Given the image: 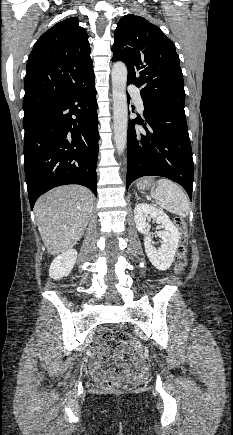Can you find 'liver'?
Wrapping results in <instances>:
<instances>
[{"instance_id": "1", "label": "liver", "mask_w": 233, "mask_h": 435, "mask_svg": "<svg viewBox=\"0 0 233 435\" xmlns=\"http://www.w3.org/2000/svg\"><path fill=\"white\" fill-rule=\"evenodd\" d=\"M92 192L79 185L60 186L42 195L34 212L48 253L59 255L81 238L93 211Z\"/></svg>"}]
</instances>
